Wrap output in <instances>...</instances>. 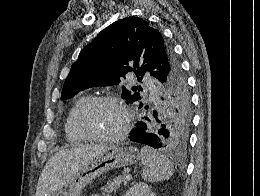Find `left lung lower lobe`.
<instances>
[{
	"label": "left lung lower lobe",
	"instance_id": "obj_1",
	"mask_svg": "<svg viewBox=\"0 0 260 196\" xmlns=\"http://www.w3.org/2000/svg\"><path fill=\"white\" fill-rule=\"evenodd\" d=\"M136 125V129H133L130 132V140L143 143L154 148L160 147V139L158 135L148 132L147 127L143 122H138Z\"/></svg>",
	"mask_w": 260,
	"mask_h": 196
}]
</instances>
